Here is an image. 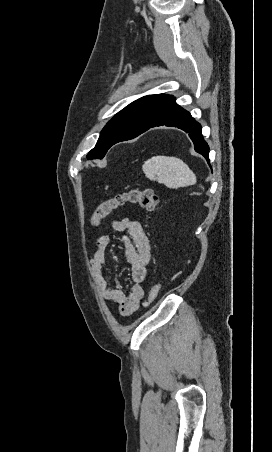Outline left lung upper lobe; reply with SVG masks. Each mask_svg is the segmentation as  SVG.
<instances>
[{
    "instance_id": "obj_1",
    "label": "left lung upper lobe",
    "mask_w": 272,
    "mask_h": 452,
    "mask_svg": "<svg viewBox=\"0 0 272 452\" xmlns=\"http://www.w3.org/2000/svg\"><path fill=\"white\" fill-rule=\"evenodd\" d=\"M172 97L164 94L148 95L126 106L103 128L87 159H102L115 143L146 131Z\"/></svg>"
}]
</instances>
